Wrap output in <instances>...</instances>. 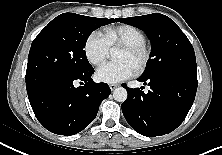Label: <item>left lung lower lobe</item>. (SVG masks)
Masks as SVG:
<instances>
[{"label": "left lung lower lobe", "mask_w": 222, "mask_h": 155, "mask_svg": "<svg viewBox=\"0 0 222 155\" xmlns=\"http://www.w3.org/2000/svg\"><path fill=\"white\" fill-rule=\"evenodd\" d=\"M149 85L144 93L139 88H127L128 98L122 104L128 124L147 137L164 135L175 130L188 114L197 91V77L169 72L137 79ZM142 89V88H141Z\"/></svg>", "instance_id": "0a47b994"}]
</instances>
